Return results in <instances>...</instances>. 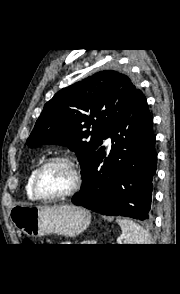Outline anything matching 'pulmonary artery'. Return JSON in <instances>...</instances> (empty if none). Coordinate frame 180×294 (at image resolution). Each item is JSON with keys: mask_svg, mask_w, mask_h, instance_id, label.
<instances>
[{"mask_svg": "<svg viewBox=\"0 0 180 294\" xmlns=\"http://www.w3.org/2000/svg\"><path fill=\"white\" fill-rule=\"evenodd\" d=\"M110 143H111V138L108 137V138L106 139V144H107V145H110Z\"/></svg>", "mask_w": 180, "mask_h": 294, "instance_id": "pulmonary-artery-1", "label": "pulmonary artery"}]
</instances>
